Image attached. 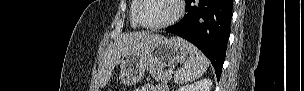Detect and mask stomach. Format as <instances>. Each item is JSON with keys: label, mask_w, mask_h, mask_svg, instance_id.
<instances>
[{"label": "stomach", "mask_w": 304, "mask_h": 91, "mask_svg": "<svg viewBox=\"0 0 304 91\" xmlns=\"http://www.w3.org/2000/svg\"><path fill=\"white\" fill-rule=\"evenodd\" d=\"M187 55L188 50L181 39L155 36L139 50L122 55L118 63L121 83L134 85L142 79L146 68L163 69L175 63H182Z\"/></svg>", "instance_id": "0dacf381"}]
</instances>
